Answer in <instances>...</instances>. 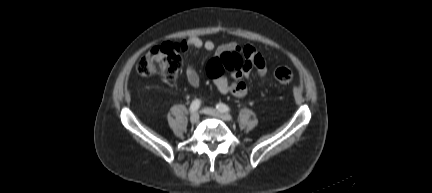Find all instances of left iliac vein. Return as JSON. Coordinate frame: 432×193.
<instances>
[{"label": "left iliac vein", "mask_w": 432, "mask_h": 193, "mask_svg": "<svg viewBox=\"0 0 432 193\" xmlns=\"http://www.w3.org/2000/svg\"><path fill=\"white\" fill-rule=\"evenodd\" d=\"M204 113L216 118H219L223 121H231L232 120V116L228 113H224L222 111H219L217 109L214 108H204Z\"/></svg>", "instance_id": "4c4485c4"}]
</instances>
